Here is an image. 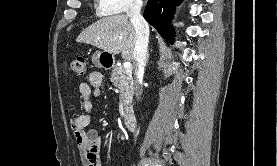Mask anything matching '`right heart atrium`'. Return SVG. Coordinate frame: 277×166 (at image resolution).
<instances>
[{
	"instance_id": "d8ad5b80",
	"label": "right heart atrium",
	"mask_w": 277,
	"mask_h": 166,
	"mask_svg": "<svg viewBox=\"0 0 277 166\" xmlns=\"http://www.w3.org/2000/svg\"><path fill=\"white\" fill-rule=\"evenodd\" d=\"M140 7L141 0H97V10L103 15L133 12Z\"/></svg>"
}]
</instances>
